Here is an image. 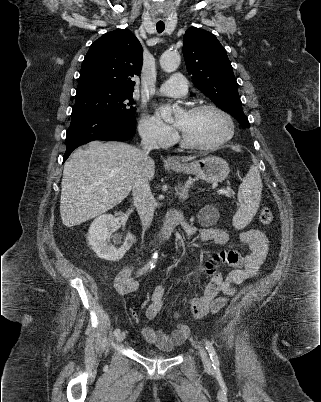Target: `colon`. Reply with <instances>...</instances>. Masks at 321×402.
Returning <instances> with one entry per match:
<instances>
[{
  "label": "colon",
  "instance_id": "1",
  "mask_svg": "<svg viewBox=\"0 0 321 402\" xmlns=\"http://www.w3.org/2000/svg\"><path fill=\"white\" fill-rule=\"evenodd\" d=\"M260 222L263 225H269L273 221V212L270 208H263L260 212ZM211 300L201 301L195 309V314H204L208 311ZM133 317L137 318L136 314L133 313Z\"/></svg>",
  "mask_w": 321,
  "mask_h": 402
}]
</instances>
